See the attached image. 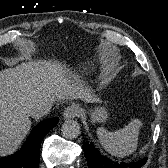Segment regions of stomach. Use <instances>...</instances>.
Returning <instances> with one entry per match:
<instances>
[{"label":"stomach","instance_id":"1","mask_svg":"<svg viewBox=\"0 0 168 168\" xmlns=\"http://www.w3.org/2000/svg\"><path fill=\"white\" fill-rule=\"evenodd\" d=\"M92 123L105 122L108 118L107 110L104 107H96L90 112Z\"/></svg>","mask_w":168,"mask_h":168}]
</instances>
